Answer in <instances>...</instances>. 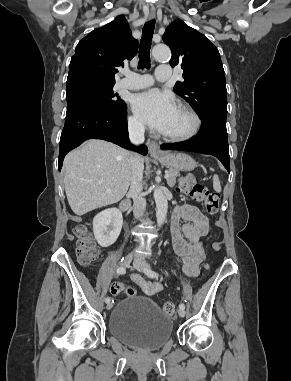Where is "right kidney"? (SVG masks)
Returning a JSON list of instances; mask_svg holds the SVG:
<instances>
[{
    "label": "right kidney",
    "mask_w": 291,
    "mask_h": 381,
    "mask_svg": "<svg viewBox=\"0 0 291 381\" xmlns=\"http://www.w3.org/2000/svg\"><path fill=\"white\" fill-rule=\"evenodd\" d=\"M123 225L122 213L117 208L106 209L94 217L93 233L102 247L115 243Z\"/></svg>",
    "instance_id": "obj_1"
}]
</instances>
